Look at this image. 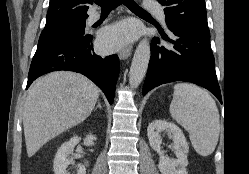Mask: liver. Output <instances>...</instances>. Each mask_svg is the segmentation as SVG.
<instances>
[{
	"mask_svg": "<svg viewBox=\"0 0 249 174\" xmlns=\"http://www.w3.org/2000/svg\"><path fill=\"white\" fill-rule=\"evenodd\" d=\"M99 88L85 76L56 71L39 78L28 92L23 126L28 157L91 114Z\"/></svg>",
	"mask_w": 249,
	"mask_h": 174,
	"instance_id": "6515ba94",
	"label": "liver"
}]
</instances>
